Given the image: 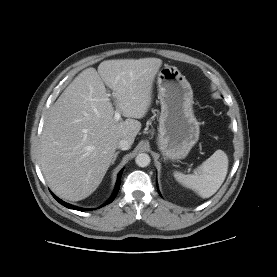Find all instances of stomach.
<instances>
[{
  "instance_id": "0dacf381",
  "label": "stomach",
  "mask_w": 277,
  "mask_h": 277,
  "mask_svg": "<svg viewBox=\"0 0 277 277\" xmlns=\"http://www.w3.org/2000/svg\"><path fill=\"white\" fill-rule=\"evenodd\" d=\"M161 104L157 144L162 155L183 159L199 139V123L193 111V91L175 66L165 65L158 73Z\"/></svg>"
}]
</instances>
